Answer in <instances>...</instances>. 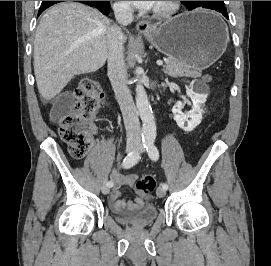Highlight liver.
I'll use <instances>...</instances> for the list:
<instances>
[{
  "label": "liver",
  "instance_id": "liver-1",
  "mask_svg": "<svg viewBox=\"0 0 271 266\" xmlns=\"http://www.w3.org/2000/svg\"><path fill=\"white\" fill-rule=\"evenodd\" d=\"M111 27L106 16L84 4L60 3L47 10L34 40V73L45 100L59 94L75 75L104 66Z\"/></svg>",
  "mask_w": 271,
  "mask_h": 266
}]
</instances>
